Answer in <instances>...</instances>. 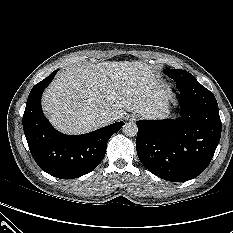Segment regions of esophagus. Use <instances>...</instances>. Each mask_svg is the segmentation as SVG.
Wrapping results in <instances>:
<instances>
[{"mask_svg":"<svg viewBox=\"0 0 233 233\" xmlns=\"http://www.w3.org/2000/svg\"><path fill=\"white\" fill-rule=\"evenodd\" d=\"M136 119H137V115H135V114L129 115V116L127 117V120H128V121H135Z\"/></svg>","mask_w":233,"mask_h":233,"instance_id":"obj_1","label":"esophagus"}]
</instances>
